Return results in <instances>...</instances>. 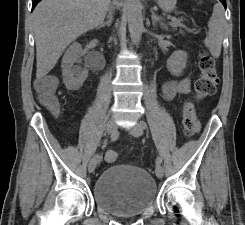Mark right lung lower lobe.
<instances>
[{"instance_id": "1", "label": "right lung lower lobe", "mask_w": 245, "mask_h": 225, "mask_svg": "<svg viewBox=\"0 0 245 225\" xmlns=\"http://www.w3.org/2000/svg\"><path fill=\"white\" fill-rule=\"evenodd\" d=\"M41 0H32V10L35 8V6L40 2Z\"/></svg>"}]
</instances>
